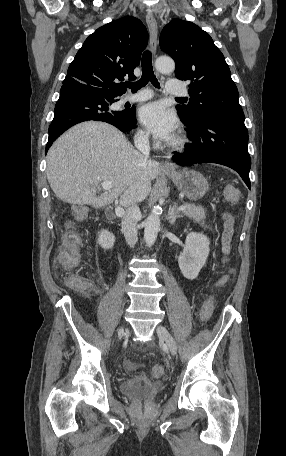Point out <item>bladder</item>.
<instances>
[{
    "mask_svg": "<svg viewBox=\"0 0 286 456\" xmlns=\"http://www.w3.org/2000/svg\"><path fill=\"white\" fill-rule=\"evenodd\" d=\"M120 391L138 401H151L160 393L161 385L145 376H136L123 380Z\"/></svg>",
    "mask_w": 286,
    "mask_h": 456,
    "instance_id": "31cf9c89",
    "label": "bladder"
}]
</instances>
